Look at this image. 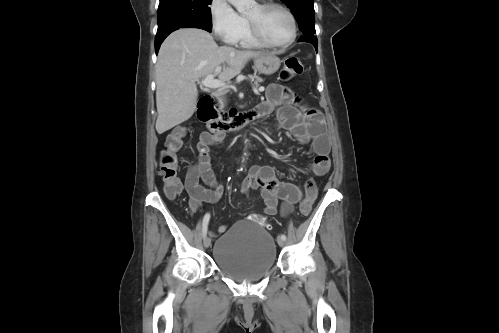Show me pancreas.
Returning a JSON list of instances; mask_svg holds the SVG:
<instances>
[{
  "instance_id": "obj_1",
  "label": "pancreas",
  "mask_w": 499,
  "mask_h": 333,
  "mask_svg": "<svg viewBox=\"0 0 499 333\" xmlns=\"http://www.w3.org/2000/svg\"><path fill=\"white\" fill-rule=\"evenodd\" d=\"M249 78L251 79V81H253V85L255 88H258L260 86V83L263 82V79L257 75H249Z\"/></svg>"
}]
</instances>
